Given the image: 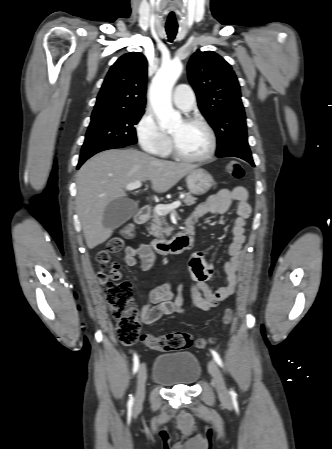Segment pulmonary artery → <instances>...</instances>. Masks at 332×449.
Listing matches in <instances>:
<instances>
[{"instance_id": "pulmonary-artery-1", "label": "pulmonary artery", "mask_w": 332, "mask_h": 449, "mask_svg": "<svg viewBox=\"0 0 332 449\" xmlns=\"http://www.w3.org/2000/svg\"><path fill=\"white\" fill-rule=\"evenodd\" d=\"M173 104L182 111H189L195 104V95L192 88L187 84L176 86L173 96Z\"/></svg>"}]
</instances>
